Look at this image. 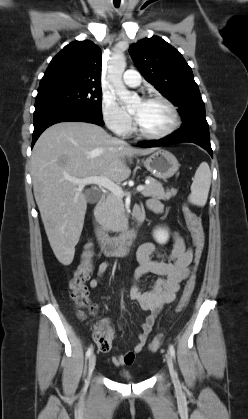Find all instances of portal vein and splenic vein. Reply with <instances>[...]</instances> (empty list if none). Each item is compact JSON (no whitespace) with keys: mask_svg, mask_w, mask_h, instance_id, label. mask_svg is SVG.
<instances>
[{"mask_svg":"<svg viewBox=\"0 0 248 419\" xmlns=\"http://www.w3.org/2000/svg\"><path fill=\"white\" fill-rule=\"evenodd\" d=\"M71 181L75 184H78L79 186H85L87 184H96L99 186H102L109 191H111L116 196H123L124 192L120 186L115 184L110 179L104 177V176H96V177H86L83 179H71ZM144 189L143 185L137 186L136 190L137 192H141Z\"/></svg>","mask_w":248,"mask_h":419,"instance_id":"portal-vein-and-splenic-vein-1","label":"portal vein and splenic vein"}]
</instances>
